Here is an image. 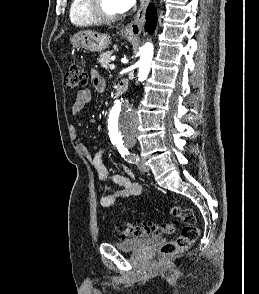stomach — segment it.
I'll return each mask as SVG.
<instances>
[{"label": "stomach", "mask_w": 259, "mask_h": 294, "mask_svg": "<svg viewBox=\"0 0 259 294\" xmlns=\"http://www.w3.org/2000/svg\"><path fill=\"white\" fill-rule=\"evenodd\" d=\"M124 36L130 41L135 39V36L130 34H124ZM70 42L75 47H80L91 52H102L109 46L111 39L107 34L85 30L73 35L70 38Z\"/></svg>", "instance_id": "obj_1"}]
</instances>
